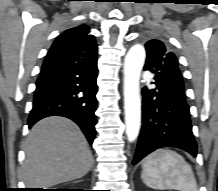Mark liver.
I'll return each instance as SVG.
<instances>
[{"mask_svg":"<svg viewBox=\"0 0 218 191\" xmlns=\"http://www.w3.org/2000/svg\"><path fill=\"white\" fill-rule=\"evenodd\" d=\"M93 165L86 138L71 120L48 117L36 123L25 142L23 179L29 188H46L79 179Z\"/></svg>","mask_w":218,"mask_h":191,"instance_id":"1","label":"liver"}]
</instances>
